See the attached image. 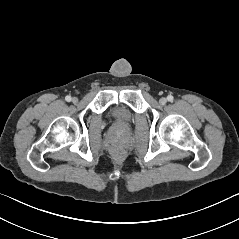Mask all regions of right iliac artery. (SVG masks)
Segmentation results:
<instances>
[{"label":"right iliac artery","instance_id":"1","mask_svg":"<svg viewBox=\"0 0 239 239\" xmlns=\"http://www.w3.org/2000/svg\"><path fill=\"white\" fill-rule=\"evenodd\" d=\"M71 99H72L71 96H66V97H65V100H66L67 102H70Z\"/></svg>","mask_w":239,"mask_h":239}]
</instances>
